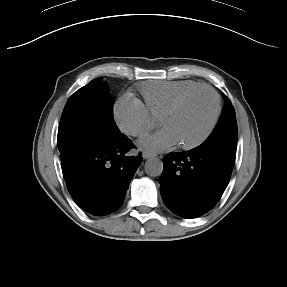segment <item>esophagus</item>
I'll return each mask as SVG.
<instances>
[{"label": "esophagus", "instance_id": "1", "mask_svg": "<svg viewBox=\"0 0 287 287\" xmlns=\"http://www.w3.org/2000/svg\"><path fill=\"white\" fill-rule=\"evenodd\" d=\"M142 156H143L144 159H150V158L155 157V155L151 154V153H143Z\"/></svg>", "mask_w": 287, "mask_h": 287}]
</instances>
